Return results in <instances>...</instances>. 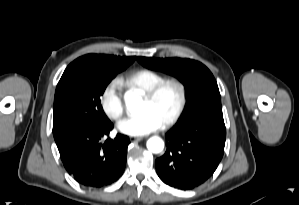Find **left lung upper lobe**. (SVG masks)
Masks as SVG:
<instances>
[{
    "label": "left lung upper lobe",
    "instance_id": "5c2ea615",
    "mask_svg": "<svg viewBox=\"0 0 299 205\" xmlns=\"http://www.w3.org/2000/svg\"><path fill=\"white\" fill-rule=\"evenodd\" d=\"M137 60L145 67L178 78L186 87L187 103L178 121H194L208 114L222 112L216 80L202 63L181 58H147Z\"/></svg>",
    "mask_w": 299,
    "mask_h": 205
}]
</instances>
